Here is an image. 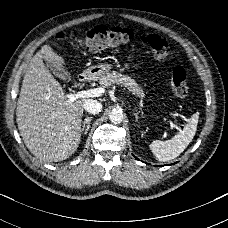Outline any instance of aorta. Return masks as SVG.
Returning a JSON list of instances; mask_svg holds the SVG:
<instances>
[{
  "label": "aorta",
  "instance_id": "aorta-1",
  "mask_svg": "<svg viewBox=\"0 0 228 228\" xmlns=\"http://www.w3.org/2000/svg\"><path fill=\"white\" fill-rule=\"evenodd\" d=\"M109 120L114 124H119L124 120V114L121 110L113 109L109 114Z\"/></svg>",
  "mask_w": 228,
  "mask_h": 228
}]
</instances>
